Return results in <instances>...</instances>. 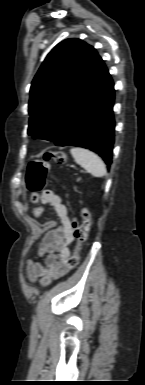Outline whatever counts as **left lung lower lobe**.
Instances as JSON below:
<instances>
[{"label":"left lung lower lobe","mask_w":145,"mask_h":385,"mask_svg":"<svg viewBox=\"0 0 145 385\" xmlns=\"http://www.w3.org/2000/svg\"><path fill=\"white\" fill-rule=\"evenodd\" d=\"M113 103L114 84L103 60L98 57L83 92L52 140L57 146H79L97 152L109 167L115 129Z\"/></svg>","instance_id":"obj_1"}]
</instances>
